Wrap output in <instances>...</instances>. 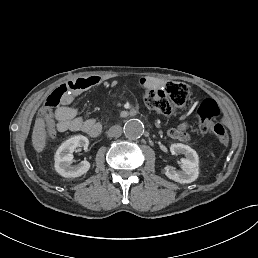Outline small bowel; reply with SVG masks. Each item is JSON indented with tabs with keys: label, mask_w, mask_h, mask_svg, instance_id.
<instances>
[{
	"label": "small bowel",
	"mask_w": 258,
	"mask_h": 258,
	"mask_svg": "<svg viewBox=\"0 0 258 258\" xmlns=\"http://www.w3.org/2000/svg\"><path fill=\"white\" fill-rule=\"evenodd\" d=\"M113 77L92 75L69 81L74 90L69 99L52 114L50 119L45 120L48 135L53 137L56 131H82L90 136H97L101 131V124L93 118L84 119L78 115L77 109L72 102L79 94L98 86H109ZM188 123L181 122L177 127L168 130V136L179 141L187 142L190 135L187 132Z\"/></svg>",
	"instance_id": "c3829d8e"
}]
</instances>
